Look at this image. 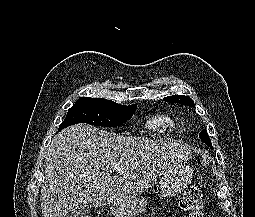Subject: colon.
<instances>
[{"instance_id": "obj_1", "label": "colon", "mask_w": 255, "mask_h": 217, "mask_svg": "<svg viewBox=\"0 0 255 217\" xmlns=\"http://www.w3.org/2000/svg\"><path fill=\"white\" fill-rule=\"evenodd\" d=\"M178 203L180 208L187 213L186 217H201L203 198L198 188L192 187L184 191Z\"/></svg>"}]
</instances>
